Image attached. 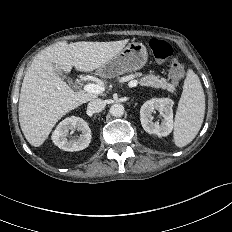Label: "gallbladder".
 Masks as SVG:
<instances>
[{
    "label": "gallbladder",
    "instance_id": "obj_1",
    "mask_svg": "<svg viewBox=\"0 0 232 232\" xmlns=\"http://www.w3.org/2000/svg\"><path fill=\"white\" fill-rule=\"evenodd\" d=\"M55 73L60 77V78H66L65 74L63 73V71L59 68H55ZM68 82H71L69 79H68Z\"/></svg>",
    "mask_w": 232,
    "mask_h": 232
}]
</instances>
